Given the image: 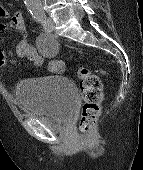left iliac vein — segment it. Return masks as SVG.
<instances>
[{
    "label": "left iliac vein",
    "mask_w": 143,
    "mask_h": 170,
    "mask_svg": "<svg viewBox=\"0 0 143 170\" xmlns=\"http://www.w3.org/2000/svg\"><path fill=\"white\" fill-rule=\"evenodd\" d=\"M54 29V22L52 18H47V26L45 27V30L47 32H52Z\"/></svg>",
    "instance_id": "left-iliac-vein-1"
}]
</instances>
